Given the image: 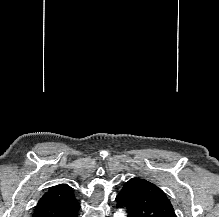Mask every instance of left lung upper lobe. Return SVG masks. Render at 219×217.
I'll list each match as a JSON object with an SVG mask.
<instances>
[{"label": "left lung upper lobe", "instance_id": "obj_1", "mask_svg": "<svg viewBox=\"0 0 219 217\" xmlns=\"http://www.w3.org/2000/svg\"><path fill=\"white\" fill-rule=\"evenodd\" d=\"M116 201L117 207L127 208L128 217H176L166 194L145 179L126 182Z\"/></svg>", "mask_w": 219, "mask_h": 217}]
</instances>
